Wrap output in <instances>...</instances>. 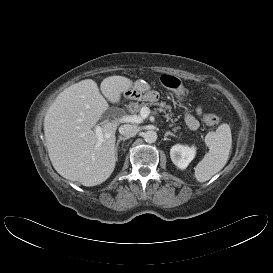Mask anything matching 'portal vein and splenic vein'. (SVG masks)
<instances>
[{"instance_id": "portal-vein-and-splenic-vein-1", "label": "portal vein and splenic vein", "mask_w": 273, "mask_h": 273, "mask_svg": "<svg viewBox=\"0 0 273 273\" xmlns=\"http://www.w3.org/2000/svg\"><path fill=\"white\" fill-rule=\"evenodd\" d=\"M150 109L148 107H143L140 110V115H123L120 116L117 121L122 123H135L139 124L142 123L144 119H146L150 114ZM101 127L96 128V133L101 135Z\"/></svg>"}]
</instances>
